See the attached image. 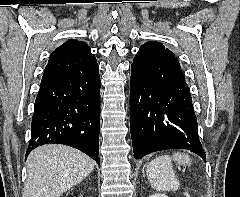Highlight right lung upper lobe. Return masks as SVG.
I'll use <instances>...</instances> for the list:
<instances>
[{"label": "right lung upper lobe", "instance_id": "cb5924a9", "mask_svg": "<svg viewBox=\"0 0 240 197\" xmlns=\"http://www.w3.org/2000/svg\"><path fill=\"white\" fill-rule=\"evenodd\" d=\"M95 56L90 47L78 40H68L59 46L49 58L44 76L79 73L97 67Z\"/></svg>", "mask_w": 240, "mask_h": 197}]
</instances>
